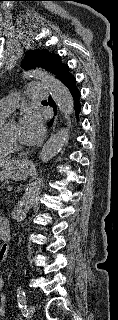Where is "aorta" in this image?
Listing matches in <instances>:
<instances>
[{
    "label": "aorta",
    "mask_w": 118,
    "mask_h": 320,
    "mask_svg": "<svg viewBox=\"0 0 118 320\" xmlns=\"http://www.w3.org/2000/svg\"><path fill=\"white\" fill-rule=\"evenodd\" d=\"M23 76L25 78H34L40 80L44 83L49 91L50 94L59 107L60 111L65 116H70L74 110V101L72 98L71 93L67 89V87L55 78L54 75L51 73L41 69L35 68L24 72ZM68 140V129L61 128L58 132L53 134L49 140L44 144L41 152H40V159L43 163L48 162L53 157H55L63 148L65 143ZM35 196V189L34 185L31 184L21 200L17 204L16 208V218L17 220H24L26 215L29 211L30 205Z\"/></svg>",
    "instance_id": "1"
}]
</instances>
